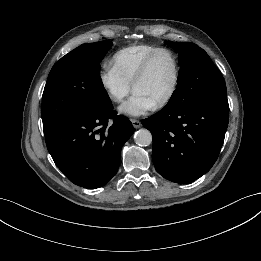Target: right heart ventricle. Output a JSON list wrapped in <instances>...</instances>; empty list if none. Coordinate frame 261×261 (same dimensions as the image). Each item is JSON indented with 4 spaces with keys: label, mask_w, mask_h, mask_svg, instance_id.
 Segmentation results:
<instances>
[{
    "label": "right heart ventricle",
    "mask_w": 261,
    "mask_h": 261,
    "mask_svg": "<svg viewBox=\"0 0 261 261\" xmlns=\"http://www.w3.org/2000/svg\"><path fill=\"white\" fill-rule=\"evenodd\" d=\"M157 48L150 44H136L119 49L110 60L111 68L132 84L144 59Z\"/></svg>",
    "instance_id": "obj_1"
}]
</instances>
